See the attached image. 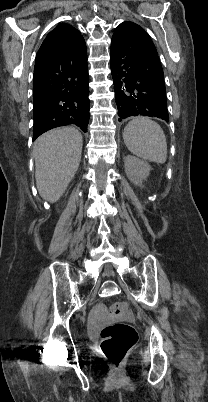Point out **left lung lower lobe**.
<instances>
[{
	"label": "left lung lower lobe",
	"mask_w": 208,
	"mask_h": 402,
	"mask_svg": "<svg viewBox=\"0 0 208 402\" xmlns=\"http://www.w3.org/2000/svg\"><path fill=\"white\" fill-rule=\"evenodd\" d=\"M148 33L133 22H123L111 40V73L119 121L130 116L169 121L164 79L145 67Z\"/></svg>",
	"instance_id": "1"
}]
</instances>
